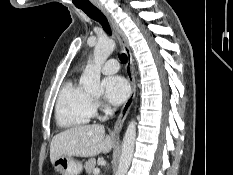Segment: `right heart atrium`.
<instances>
[{
  "mask_svg": "<svg viewBox=\"0 0 233 175\" xmlns=\"http://www.w3.org/2000/svg\"><path fill=\"white\" fill-rule=\"evenodd\" d=\"M94 103L97 108H104V104L101 100H95Z\"/></svg>",
  "mask_w": 233,
  "mask_h": 175,
  "instance_id": "obj_1",
  "label": "right heart atrium"
}]
</instances>
